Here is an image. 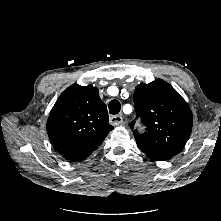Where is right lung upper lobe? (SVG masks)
<instances>
[{"label":"right lung upper lobe","mask_w":221,"mask_h":221,"mask_svg":"<svg viewBox=\"0 0 221 221\" xmlns=\"http://www.w3.org/2000/svg\"><path fill=\"white\" fill-rule=\"evenodd\" d=\"M112 129L98 89L78 84L60 95L47 121V133L54 149L73 162L86 159Z\"/></svg>","instance_id":"1"}]
</instances>
